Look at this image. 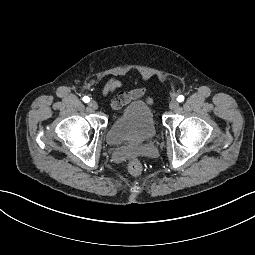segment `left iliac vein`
<instances>
[{"instance_id": "left-iliac-vein-1", "label": "left iliac vein", "mask_w": 255, "mask_h": 255, "mask_svg": "<svg viewBox=\"0 0 255 255\" xmlns=\"http://www.w3.org/2000/svg\"><path fill=\"white\" fill-rule=\"evenodd\" d=\"M178 106H179V103H178V101L175 100V99H173V100L170 102V104H169V108H170L171 110L177 109Z\"/></svg>"}]
</instances>
